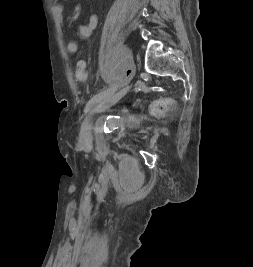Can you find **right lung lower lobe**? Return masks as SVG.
I'll list each match as a JSON object with an SVG mask.
<instances>
[{
	"instance_id": "98d812e1",
	"label": "right lung lower lobe",
	"mask_w": 253,
	"mask_h": 267,
	"mask_svg": "<svg viewBox=\"0 0 253 267\" xmlns=\"http://www.w3.org/2000/svg\"><path fill=\"white\" fill-rule=\"evenodd\" d=\"M152 213H153V216H155L158 213V211L157 210H153Z\"/></svg>"
}]
</instances>
